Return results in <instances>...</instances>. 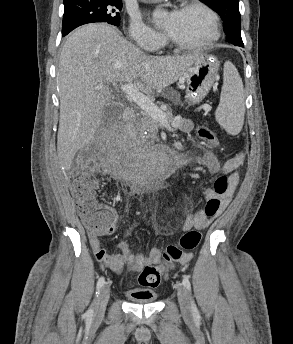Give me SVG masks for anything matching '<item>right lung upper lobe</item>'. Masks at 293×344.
<instances>
[{
  "label": "right lung upper lobe",
  "instance_id": "1",
  "mask_svg": "<svg viewBox=\"0 0 293 344\" xmlns=\"http://www.w3.org/2000/svg\"><path fill=\"white\" fill-rule=\"evenodd\" d=\"M75 1H78V0H64V3H71V2H75Z\"/></svg>",
  "mask_w": 293,
  "mask_h": 344
}]
</instances>
